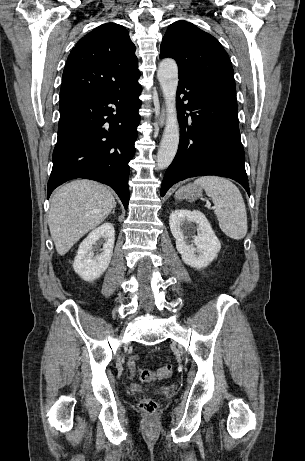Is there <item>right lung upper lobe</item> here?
<instances>
[{"label": "right lung upper lobe", "instance_id": "obj_1", "mask_svg": "<svg viewBox=\"0 0 305 461\" xmlns=\"http://www.w3.org/2000/svg\"><path fill=\"white\" fill-rule=\"evenodd\" d=\"M140 77L135 45L119 24H103L81 38L70 52L62 77L60 103L105 95Z\"/></svg>", "mask_w": 305, "mask_h": 461}]
</instances>
